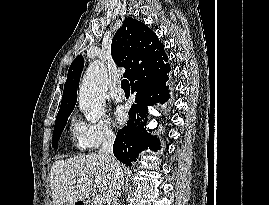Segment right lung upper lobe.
Wrapping results in <instances>:
<instances>
[{
  "label": "right lung upper lobe",
  "instance_id": "1",
  "mask_svg": "<svg viewBox=\"0 0 269 205\" xmlns=\"http://www.w3.org/2000/svg\"><path fill=\"white\" fill-rule=\"evenodd\" d=\"M111 54L119 67L126 68L124 77L130 80L131 88L151 80L157 82L168 79L170 65L167 63L164 45L151 29L133 18H126L114 35ZM83 66L81 55L70 65L56 119L70 115L73 111Z\"/></svg>",
  "mask_w": 269,
  "mask_h": 205
}]
</instances>
